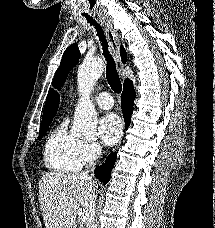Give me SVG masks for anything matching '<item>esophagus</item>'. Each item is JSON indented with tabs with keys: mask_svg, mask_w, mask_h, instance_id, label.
<instances>
[{
	"mask_svg": "<svg viewBox=\"0 0 215 228\" xmlns=\"http://www.w3.org/2000/svg\"><path fill=\"white\" fill-rule=\"evenodd\" d=\"M98 17L104 26L106 36L109 42L110 50L115 60L117 70L119 71L121 78L124 80L125 77L121 73L124 68V65L122 63L121 56H120L119 37L115 29L113 28L111 20H109L105 15H102V14H99Z\"/></svg>",
	"mask_w": 215,
	"mask_h": 228,
	"instance_id": "obj_1",
	"label": "esophagus"
}]
</instances>
